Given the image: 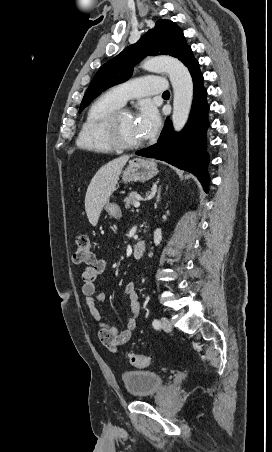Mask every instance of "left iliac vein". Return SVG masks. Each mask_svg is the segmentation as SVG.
Masks as SVG:
<instances>
[{
  "instance_id": "left-iliac-vein-1",
  "label": "left iliac vein",
  "mask_w": 272,
  "mask_h": 452,
  "mask_svg": "<svg viewBox=\"0 0 272 452\" xmlns=\"http://www.w3.org/2000/svg\"><path fill=\"white\" fill-rule=\"evenodd\" d=\"M161 327L166 332L172 331V324H171L170 320L166 317L161 318Z\"/></svg>"
}]
</instances>
